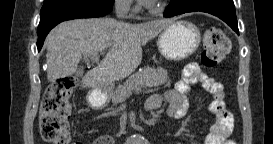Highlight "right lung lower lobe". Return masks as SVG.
<instances>
[{
  "mask_svg": "<svg viewBox=\"0 0 273 144\" xmlns=\"http://www.w3.org/2000/svg\"><path fill=\"white\" fill-rule=\"evenodd\" d=\"M114 0H48L41 9L37 48L41 50L49 31L65 20L105 16L111 12Z\"/></svg>",
  "mask_w": 273,
  "mask_h": 144,
  "instance_id": "right-lung-lower-lobe-1",
  "label": "right lung lower lobe"
}]
</instances>
